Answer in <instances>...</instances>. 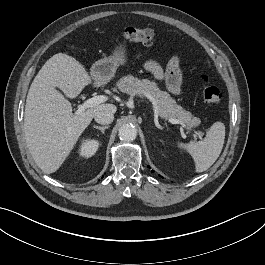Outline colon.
<instances>
[{
    "mask_svg": "<svg viewBox=\"0 0 265 265\" xmlns=\"http://www.w3.org/2000/svg\"><path fill=\"white\" fill-rule=\"evenodd\" d=\"M124 37L130 42H140L149 45L155 42L157 33L150 28L130 26L125 29ZM200 80L204 85L203 98L205 102L213 106L219 105L223 98L222 92L217 87L208 84L209 81L206 75H202Z\"/></svg>",
    "mask_w": 265,
    "mask_h": 265,
    "instance_id": "1",
    "label": "colon"
}]
</instances>
